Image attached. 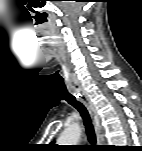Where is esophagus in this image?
I'll return each instance as SVG.
<instances>
[{
  "mask_svg": "<svg viewBox=\"0 0 142 151\" xmlns=\"http://www.w3.org/2000/svg\"><path fill=\"white\" fill-rule=\"evenodd\" d=\"M74 95L80 99V101L85 105V107L89 111V114L92 118L93 124L97 132L98 142L101 143L102 139H101L100 118L97 114V111L94 105L92 104V102L90 101V99L88 98L87 94L85 93V91L83 90L81 86L75 87Z\"/></svg>",
  "mask_w": 142,
  "mask_h": 151,
  "instance_id": "34e87169",
  "label": "esophagus"
}]
</instances>
